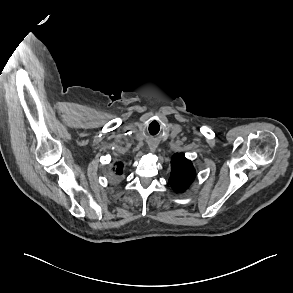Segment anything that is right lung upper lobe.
<instances>
[{
    "instance_id": "cb5924a9",
    "label": "right lung upper lobe",
    "mask_w": 293,
    "mask_h": 293,
    "mask_svg": "<svg viewBox=\"0 0 293 293\" xmlns=\"http://www.w3.org/2000/svg\"><path fill=\"white\" fill-rule=\"evenodd\" d=\"M117 165V167H116V174H122V166H123V164L122 163H117L116 164Z\"/></svg>"
}]
</instances>
